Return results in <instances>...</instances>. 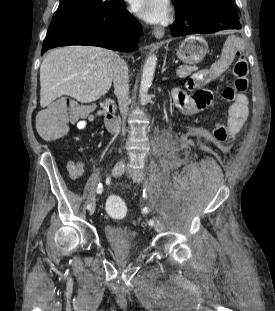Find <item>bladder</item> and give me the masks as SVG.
I'll list each match as a JSON object with an SVG mask.
<instances>
[{
	"mask_svg": "<svg viewBox=\"0 0 275 311\" xmlns=\"http://www.w3.org/2000/svg\"><path fill=\"white\" fill-rule=\"evenodd\" d=\"M104 232L111 244L117 247L130 248L137 240L136 232L128 227L105 226Z\"/></svg>",
	"mask_w": 275,
	"mask_h": 311,
	"instance_id": "31cf9c89",
	"label": "bladder"
}]
</instances>
